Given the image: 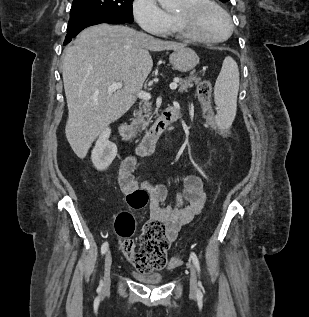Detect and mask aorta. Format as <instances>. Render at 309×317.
Here are the masks:
<instances>
[{"mask_svg": "<svg viewBox=\"0 0 309 317\" xmlns=\"http://www.w3.org/2000/svg\"><path fill=\"white\" fill-rule=\"evenodd\" d=\"M158 2L163 9L172 10L176 5L177 0H158Z\"/></svg>", "mask_w": 309, "mask_h": 317, "instance_id": "1", "label": "aorta"}]
</instances>
